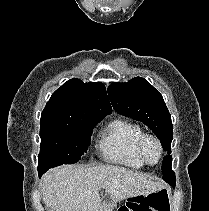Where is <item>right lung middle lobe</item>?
Segmentation results:
<instances>
[{"label":"right lung middle lobe","mask_w":209,"mask_h":211,"mask_svg":"<svg viewBox=\"0 0 209 211\" xmlns=\"http://www.w3.org/2000/svg\"><path fill=\"white\" fill-rule=\"evenodd\" d=\"M103 117L67 122H40L38 170L76 163L87 151L92 129Z\"/></svg>","instance_id":"dd1d6c3e"}]
</instances>
